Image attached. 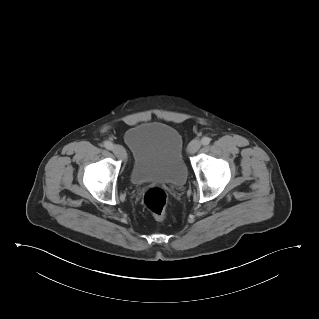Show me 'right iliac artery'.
<instances>
[{"instance_id":"82829eb1","label":"right iliac artery","mask_w":319,"mask_h":319,"mask_svg":"<svg viewBox=\"0 0 319 319\" xmlns=\"http://www.w3.org/2000/svg\"><path fill=\"white\" fill-rule=\"evenodd\" d=\"M103 146L108 150H112L114 145L111 142L106 141Z\"/></svg>"}]
</instances>
